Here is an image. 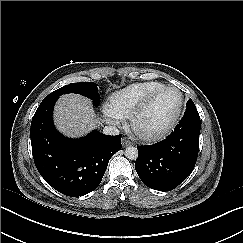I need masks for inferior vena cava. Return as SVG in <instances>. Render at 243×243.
Returning <instances> with one entry per match:
<instances>
[{
	"mask_svg": "<svg viewBox=\"0 0 243 243\" xmlns=\"http://www.w3.org/2000/svg\"><path fill=\"white\" fill-rule=\"evenodd\" d=\"M103 134L115 136L119 134V130L115 125L105 126L103 129Z\"/></svg>",
	"mask_w": 243,
	"mask_h": 243,
	"instance_id": "obj_1",
	"label": "inferior vena cava"
}]
</instances>
